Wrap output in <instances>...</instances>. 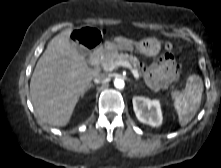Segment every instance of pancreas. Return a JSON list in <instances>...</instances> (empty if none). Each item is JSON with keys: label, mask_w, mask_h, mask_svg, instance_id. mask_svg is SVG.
<instances>
[{"label": "pancreas", "mask_w": 221, "mask_h": 168, "mask_svg": "<svg viewBox=\"0 0 221 168\" xmlns=\"http://www.w3.org/2000/svg\"><path fill=\"white\" fill-rule=\"evenodd\" d=\"M116 61H127L129 62L133 67L134 70L138 73L141 74L139 70V60L137 57L133 55H129L127 53H112L109 55H106L104 58L101 59V66H111L114 64ZM172 97H176L178 95L177 92H172Z\"/></svg>", "instance_id": "cf45deb5"}]
</instances>
